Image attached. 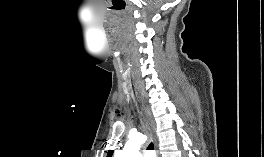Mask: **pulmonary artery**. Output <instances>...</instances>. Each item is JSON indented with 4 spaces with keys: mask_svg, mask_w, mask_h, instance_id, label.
<instances>
[{
    "mask_svg": "<svg viewBox=\"0 0 264 157\" xmlns=\"http://www.w3.org/2000/svg\"><path fill=\"white\" fill-rule=\"evenodd\" d=\"M152 155H154V154L151 151H146V152H144L143 157H149Z\"/></svg>",
    "mask_w": 264,
    "mask_h": 157,
    "instance_id": "e3ab8cb5",
    "label": "pulmonary artery"
}]
</instances>
